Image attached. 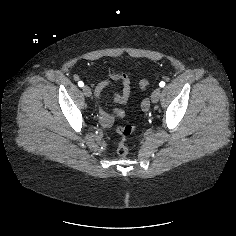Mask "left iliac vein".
Segmentation results:
<instances>
[{
  "label": "left iliac vein",
  "instance_id": "obj_1",
  "mask_svg": "<svg viewBox=\"0 0 236 236\" xmlns=\"http://www.w3.org/2000/svg\"><path fill=\"white\" fill-rule=\"evenodd\" d=\"M160 97H161V89L160 88H156L153 91L152 95H151V101L153 103H157L159 101Z\"/></svg>",
  "mask_w": 236,
  "mask_h": 236
}]
</instances>
